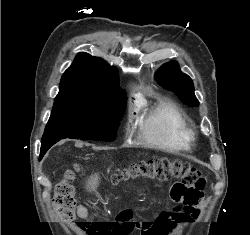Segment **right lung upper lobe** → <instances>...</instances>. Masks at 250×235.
Returning a JSON list of instances; mask_svg holds the SVG:
<instances>
[{
  "label": "right lung upper lobe",
  "mask_w": 250,
  "mask_h": 235,
  "mask_svg": "<svg viewBox=\"0 0 250 235\" xmlns=\"http://www.w3.org/2000/svg\"><path fill=\"white\" fill-rule=\"evenodd\" d=\"M55 99L69 97H112L125 94L119 88V78L114 67L88 53H79L65 71Z\"/></svg>",
  "instance_id": "cb5924a9"
}]
</instances>
